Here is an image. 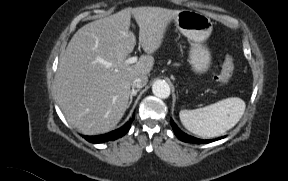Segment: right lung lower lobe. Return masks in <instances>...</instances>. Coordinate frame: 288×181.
Returning <instances> with one entry per match:
<instances>
[{"label":"right lung lower lobe","mask_w":288,"mask_h":181,"mask_svg":"<svg viewBox=\"0 0 288 181\" xmlns=\"http://www.w3.org/2000/svg\"><path fill=\"white\" fill-rule=\"evenodd\" d=\"M134 120V115L132 118L129 119L127 123H125L122 127L111 131L106 134L98 135V136H83L88 142L91 143H103V142H108V141H113L118 138L123 137L130 129L131 124Z\"/></svg>","instance_id":"98d812e1"}]
</instances>
